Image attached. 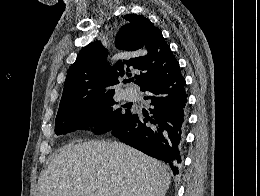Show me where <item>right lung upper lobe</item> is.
<instances>
[{
	"label": "right lung upper lobe",
	"mask_w": 260,
	"mask_h": 196,
	"mask_svg": "<svg viewBox=\"0 0 260 196\" xmlns=\"http://www.w3.org/2000/svg\"><path fill=\"white\" fill-rule=\"evenodd\" d=\"M123 19L125 24L115 38L114 62L106 63L107 51L100 41L82 48L68 70L59 111L85 97L114 92L109 87L119 84L130 70L140 73L135 83L141 89L177 72L179 63L159 28L141 15L128 14Z\"/></svg>",
	"instance_id": "right-lung-upper-lobe-1"
}]
</instances>
